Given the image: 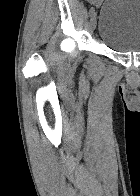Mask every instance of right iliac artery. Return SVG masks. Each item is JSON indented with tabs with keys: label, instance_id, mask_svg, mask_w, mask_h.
Returning a JSON list of instances; mask_svg holds the SVG:
<instances>
[{
	"label": "right iliac artery",
	"instance_id": "1",
	"mask_svg": "<svg viewBox=\"0 0 140 196\" xmlns=\"http://www.w3.org/2000/svg\"><path fill=\"white\" fill-rule=\"evenodd\" d=\"M94 13V8H91L89 14L92 15Z\"/></svg>",
	"mask_w": 140,
	"mask_h": 196
}]
</instances>
